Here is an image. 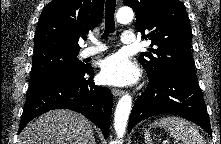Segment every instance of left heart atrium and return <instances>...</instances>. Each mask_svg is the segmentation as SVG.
Returning a JSON list of instances; mask_svg holds the SVG:
<instances>
[{
	"mask_svg": "<svg viewBox=\"0 0 221 144\" xmlns=\"http://www.w3.org/2000/svg\"><path fill=\"white\" fill-rule=\"evenodd\" d=\"M137 77V68L122 53L110 55L101 62L100 79L105 84L125 86L134 83Z\"/></svg>",
	"mask_w": 221,
	"mask_h": 144,
	"instance_id": "39dd6f15",
	"label": "left heart atrium"
}]
</instances>
